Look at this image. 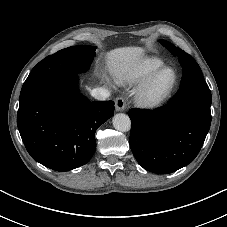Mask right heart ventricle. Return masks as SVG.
<instances>
[{
    "label": "right heart ventricle",
    "instance_id": "obj_1",
    "mask_svg": "<svg viewBox=\"0 0 227 227\" xmlns=\"http://www.w3.org/2000/svg\"><path fill=\"white\" fill-rule=\"evenodd\" d=\"M164 61L157 57H147L130 65L121 75V80L129 84L142 83L154 71L163 67Z\"/></svg>",
    "mask_w": 227,
    "mask_h": 227
}]
</instances>
